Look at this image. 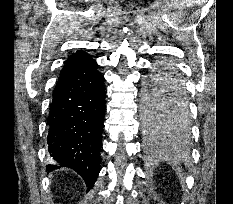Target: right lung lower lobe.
Wrapping results in <instances>:
<instances>
[{
  "instance_id": "1",
  "label": "right lung lower lobe",
  "mask_w": 233,
  "mask_h": 204,
  "mask_svg": "<svg viewBox=\"0 0 233 204\" xmlns=\"http://www.w3.org/2000/svg\"><path fill=\"white\" fill-rule=\"evenodd\" d=\"M104 78L97 64L75 63L58 79L48 117L50 156L74 169L88 189L98 177L101 131L105 113ZM48 165L47 170L60 168Z\"/></svg>"
}]
</instances>
